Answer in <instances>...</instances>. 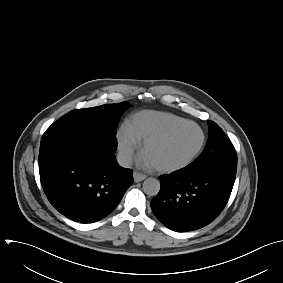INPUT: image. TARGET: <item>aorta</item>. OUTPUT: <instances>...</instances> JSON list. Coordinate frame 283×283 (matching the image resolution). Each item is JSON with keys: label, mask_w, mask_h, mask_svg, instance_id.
<instances>
[{"label": "aorta", "mask_w": 283, "mask_h": 283, "mask_svg": "<svg viewBox=\"0 0 283 283\" xmlns=\"http://www.w3.org/2000/svg\"><path fill=\"white\" fill-rule=\"evenodd\" d=\"M160 190V182L155 178H147L143 182V191L148 196H155Z\"/></svg>", "instance_id": "762f6f07"}]
</instances>
